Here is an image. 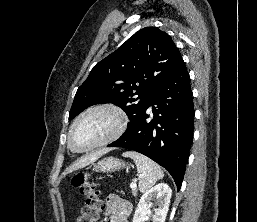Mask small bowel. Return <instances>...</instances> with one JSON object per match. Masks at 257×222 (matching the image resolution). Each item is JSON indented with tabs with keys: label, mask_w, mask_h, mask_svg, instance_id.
<instances>
[{
	"label": "small bowel",
	"mask_w": 257,
	"mask_h": 222,
	"mask_svg": "<svg viewBox=\"0 0 257 222\" xmlns=\"http://www.w3.org/2000/svg\"><path fill=\"white\" fill-rule=\"evenodd\" d=\"M105 209L110 214L108 222H128L132 211L130 203L115 195L106 198Z\"/></svg>",
	"instance_id": "obj_1"
}]
</instances>
